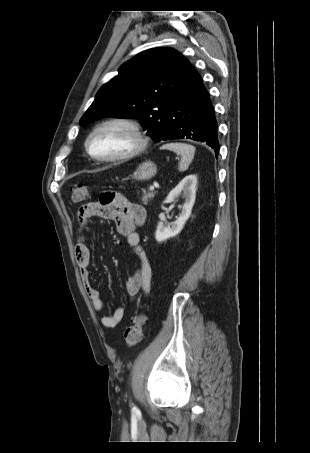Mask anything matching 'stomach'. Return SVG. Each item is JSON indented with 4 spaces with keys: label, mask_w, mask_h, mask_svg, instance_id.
Here are the masks:
<instances>
[{
    "label": "stomach",
    "mask_w": 310,
    "mask_h": 453,
    "mask_svg": "<svg viewBox=\"0 0 310 453\" xmlns=\"http://www.w3.org/2000/svg\"><path fill=\"white\" fill-rule=\"evenodd\" d=\"M157 173V166L151 162L146 161L141 163L137 170L133 173L132 178L137 181L150 180Z\"/></svg>",
    "instance_id": "0dacf381"
}]
</instances>
